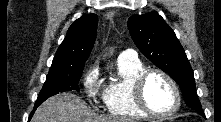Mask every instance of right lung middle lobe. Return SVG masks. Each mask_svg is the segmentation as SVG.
Masks as SVG:
<instances>
[{"label":"right lung middle lobe","instance_id":"right-lung-middle-lobe-1","mask_svg":"<svg viewBox=\"0 0 221 122\" xmlns=\"http://www.w3.org/2000/svg\"><path fill=\"white\" fill-rule=\"evenodd\" d=\"M84 65L51 66L35 104H41L47 98L61 92L79 91L78 82L82 76Z\"/></svg>","mask_w":221,"mask_h":122}]
</instances>
